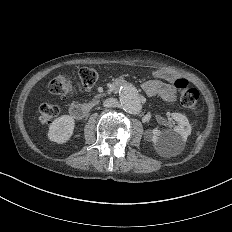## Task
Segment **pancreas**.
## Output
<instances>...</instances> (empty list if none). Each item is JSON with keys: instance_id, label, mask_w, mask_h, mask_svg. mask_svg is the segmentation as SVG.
Segmentation results:
<instances>
[{"instance_id": "1", "label": "pancreas", "mask_w": 232, "mask_h": 232, "mask_svg": "<svg viewBox=\"0 0 232 232\" xmlns=\"http://www.w3.org/2000/svg\"><path fill=\"white\" fill-rule=\"evenodd\" d=\"M96 97H97V98H99V97H100V95H97Z\"/></svg>"}]
</instances>
